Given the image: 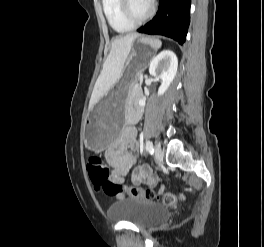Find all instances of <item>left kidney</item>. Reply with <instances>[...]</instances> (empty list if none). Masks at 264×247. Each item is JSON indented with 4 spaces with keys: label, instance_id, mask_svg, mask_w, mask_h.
Listing matches in <instances>:
<instances>
[{
    "label": "left kidney",
    "instance_id": "left-kidney-1",
    "mask_svg": "<svg viewBox=\"0 0 264 247\" xmlns=\"http://www.w3.org/2000/svg\"><path fill=\"white\" fill-rule=\"evenodd\" d=\"M178 59L171 50H164L154 57L150 63L149 73L158 76L162 83L158 89V96L163 95L176 76Z\"/></svg>",
    "mask_w": 264,
    "mask_h": 247
}]
</instances>
